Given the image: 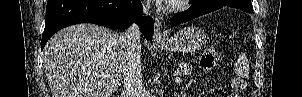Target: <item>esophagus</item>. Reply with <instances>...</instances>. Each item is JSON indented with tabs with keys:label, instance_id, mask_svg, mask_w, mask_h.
Returning <instances> with one entry per match:
<instances>
[{
	"label": "esophagus",
	"instance_id": "obj_1",
	"mask_svg": "<svg viewBox=\"0 0 302 97\" xmlns=\"http://www.w3.org/2000/svg\"><path fill=\"white\" fill-rule=\"evenodd\" d=\"M154 42H163L165 40L164 35L161 32V19L159 17L155 18V33L153 36Z\"/></svg>",
	"mask_w": 302,
	"mask_h": 97
}]
</instances>
